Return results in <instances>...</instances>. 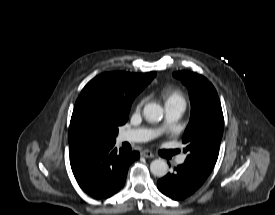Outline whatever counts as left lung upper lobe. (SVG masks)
Instances as JSON below:
<instances>
[{"mask_svg": "<svg viewBox=\"0 0 275 215\" xmlns=\"http://www.w3.org/2000/svg\"><path fill=\"white\" fill-rule=\"evenodd\" d=\"M173 76L187 86L191 117L183 135L185 163L210 174L218 158L224 118L218 94L202 75L179 71Z\"/></svg>", "mask_w": 275, "mask_h": 215, "instance_id": "1", "label": "left lung upper lobe"}]
</instances>
